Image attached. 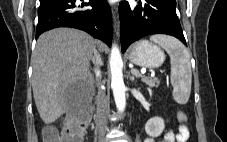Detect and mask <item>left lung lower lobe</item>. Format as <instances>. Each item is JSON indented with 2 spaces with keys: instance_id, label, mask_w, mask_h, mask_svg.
<instances>
[{
  "instance_id": "1",
  "label": "left lung lower lobe",
  "mask_w": 227,
  "mask_h": 142,
  "mask_svg": "<svg viewBox=\"0 0 227 142\" xmlns=\"http://www.w3.org/2000/svg\"><path fill=\"white\" fill-rule=\"evenodd\" d=\"M122 52L150 34H168L186 41L176 15L175 0H139L134 8L127 1L119 5Z\"/></svg>"
}]
</instances>
